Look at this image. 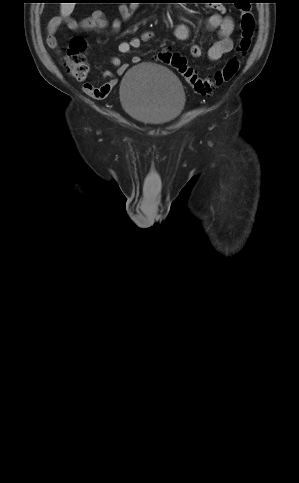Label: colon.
I'll use <instances>...</instances> for the list:
<instances>
[{"label": "colon", "mask_w": 299, "mask_h": 483, "mask_svg": "<svg viewBox=\"0 0 299 483\" xmlns=\"http://www.w3.org/2000/svg\"><path fill=\"white\" fill-rule=\"evenodd\" d=\"M240 37L236 46V54L228 59L225 65L211 77H201L190 66L182 55L171 50L160 51L157 60L174 68L200 96H209L225 83L231 81L238 72L242 60L250 50L255 30V18L250 9H241ZM86 41L75 37L70 42L64 57V64L70 76L84 81L89 72L84 50Z\"/></svg>", "instance_id": "obj_1"}]
</instances>
